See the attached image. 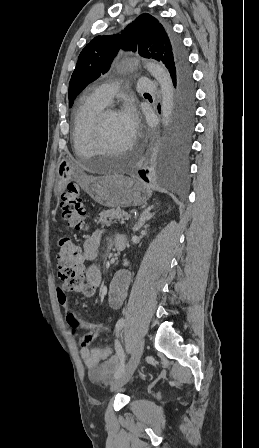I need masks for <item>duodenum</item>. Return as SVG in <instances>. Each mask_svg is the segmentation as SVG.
<instances>
[{
	"label": "duodenum",
	"mask_w": 259,
	"mask_h": 448,
	"mask_svg": "<svg viewBox=\"0 0 259 448\" xmlns=\"http://www.w3.org/2000/svg\"><path fill=\"white\" fill-rule=\"evenodd\" d=\"M124 248H125V245H124V244H120V245L118 246V249H119L120 251L124 250Z\"/></svg>",
	"instance_id": "410a0bca"
}]
</instances>
